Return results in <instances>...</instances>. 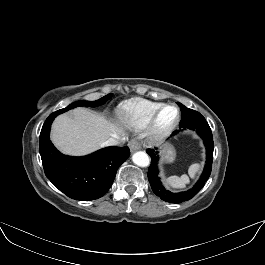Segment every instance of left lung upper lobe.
Wrapping results in <instances>:
<instances>
[{"label": "left lung upper lobe", "instance_id": "5c2ea615", "mask_svg": "<svg viewBox=\"0 0 265 265\" xmlns=\"http://www.w3.org/2000/svg\"><path fill=\"white\" fill-rule=\"evenodd\" d=\"M177 104L180 106L181 113H182L179 128L185 127L198 119L204 118L199 112L189 109L179 102H177Z\"/></svg>", "mask_w": 265, "mask_h": 265}]
</instances>
